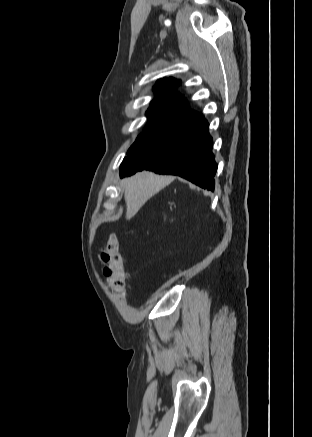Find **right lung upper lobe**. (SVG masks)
I'll return each mask as SVG.
<instances>
[{
  "mask_svg": "<svg viewBox=\"0 0 312 437\" xmlns=\"http://www.w3.org/2000/svg\"><path fill=\"white\" fill-rule=\"evenodd\" d=\"M180 83V80L174 78L158 80L154 88L157 96L152 100L151 107H169L197 113L187 107V100L183 95L173 91Z\"/></svg>",
  "mask_w": 312,
  "mask_h": 437,
  "instance_id": "obj_1",
  "label": "right lung upper lobe"
}]
</instances>
